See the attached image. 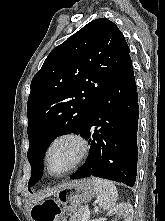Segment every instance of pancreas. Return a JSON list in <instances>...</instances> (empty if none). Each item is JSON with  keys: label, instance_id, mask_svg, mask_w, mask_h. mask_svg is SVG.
<instances>
[{"label": "pancreas", "instance_id": "1", "mask_svg": "<svg viewBox=\"0 0 165 221\" xmlns=\"http://www.w3.org/2000/svg\"><path fill=\"white\" fill-rule=\"evenodd\" d=\"M84 208H80L79 210H77L76 212H74V214L70 217L69 221H85L84 217Z\"/></svg>", "mask_w": 165, "mask_h": 221}]
</instances>
